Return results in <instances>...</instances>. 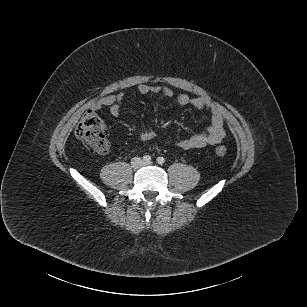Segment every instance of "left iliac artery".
I'll use <instances>...</instances> for the list:
<instances>
[{"label":"left iliac artery","mask_w":307,"mask_h":307,"mask_svg":"<svg viewBox=\"0 0 307 307\" xmlns=\"http://www.w3.org/2000/svg\"><path fill=\"white\" fill-rule=\"evenodd\" d=\"M156 161L160 165H163L165 163V159L163 157H158Z\"/></svg>","instance_id":"left-iliac-artery-1"}]
</instances>
